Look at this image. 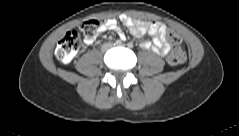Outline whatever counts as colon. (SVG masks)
<instances>
[{"instance_id":"5ec220e1","label":"colon","mask_w":239,"mask_h":136,"mask_svg":"<svg viewBox=\"0 0 239 136\" xmlns=\"http://www.w3.org/2000/svg\"><path fill=\"white\" fill-rule=\"evenodd\" d=\"M99 28L100 25L97 20H87L81 24L79 29L67 32L59 41L56 49V55L59 60L64 64H68L80 48L81 35H84L85 38H95ZM168 38L174 44V48L168 57V62L171 65L181 64L186 58L185 50L181 46V38L174 31L168 32Z\"/></svg>"}]
</instances>
